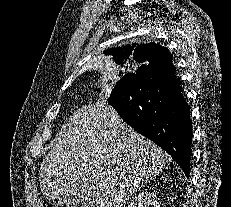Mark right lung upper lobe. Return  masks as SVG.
Masks as SVG:
<instances>
[{
    "label": "right lung upper lobe",
    "instance_id": "1",
    "mask_svg": "<svg viewBox=\"0 0 231 207\" xmlns=\"http://www.w3.org/2000/svg\"><path fill=\"white\" fill-rule=\"evenodd\" d=\"M104 53L111 57L114 65L125 67L131 62L140 63L141 66L146 65H159L165 69L172 67V55L170 52L155 43L126 45L118 48H110ZM127 67V66H126ZM139 67V68H140ZM124 75L123 77L127 76Z\"/></svg>",
    "mask_w": 231,
    "mask_h": 207
}]
</instances>
